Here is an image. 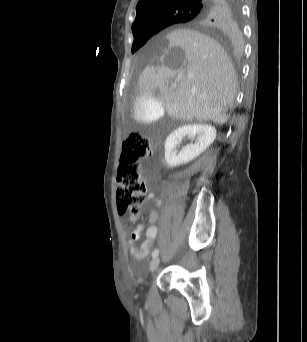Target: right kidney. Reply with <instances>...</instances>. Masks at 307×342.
Listing matches in <instances>:
<instances>
[{
    "instance_id": "obj_1",
    "label": "right kidney",
    "mask_w": 307,
    "mask_h": 342,
    "mask_svg": "<svg viewBox=\"0 0 307 342\" xmlns=\"http://www.w3.org/2000/svg\"><path fill=\"white\" fill-rule=\"evenodd\" d=\"M184 136H190V138L197 136V140L195 144H188L182 148L181 152H177L176 144H179ZM215 138L216 130L209 124H188V126L177 128L165 140L164 156L168 168H177V166L192 162L214 142Z\"/></svg>"
}]
</instances>
